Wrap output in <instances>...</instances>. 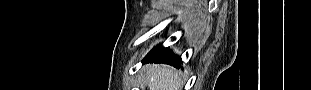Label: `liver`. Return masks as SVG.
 Returning <instances> with one entry per match:
<instances>
[{
	"instance_id": "liver-1",
	"label": "liver",
	"mask_w": 311,
	"mask_h": 90,
	"mask_svg": "<svg viewBox=\"0 0 311 90\" xmlns=\"http://www.w3.org/2000/svg\"><path fill=\"white\" fill-rule=\"evenodd\" d=\"M146 85L150 90H179L181 80L170 67L147 66Z\"/></svg>"
}]
</instances>
